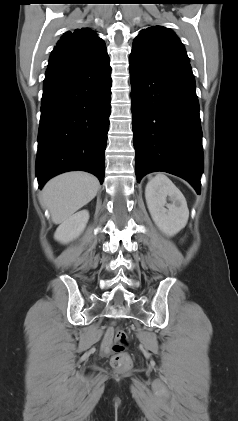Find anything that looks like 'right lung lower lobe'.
<instances>
[{
  "label": "right lung lower lobe",
  "instance_id": "98d812e1",
  "mask_svg": "<svg viewBox=\"0 0 238 421\" xmlns=\"http://www.w3.org/2000/svg\"><path fill=\"white\" fill-rule=\"evenodd\" d=\"M109 59L48 65L38 134L36 176L45 182L66 171L105 172L111 112Z\"/></svg>",
  "mask_w": 238,
  "mask_h": 421
}]
</instances>
